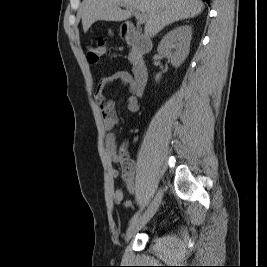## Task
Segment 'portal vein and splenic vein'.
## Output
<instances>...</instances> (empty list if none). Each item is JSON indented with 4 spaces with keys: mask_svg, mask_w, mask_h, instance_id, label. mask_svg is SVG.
<instances>
[{
    "mask_svg": "<svg viewBox=\"0 0 267 267\" xmlns=\"http://www.w3.org/2000/svg\"><path fill=\"white\" fill-rule=\"evenodd\" d=\"M117 5L124 6V4H122V3H117ZM133 13H134V15H135V17L139 23H144L146 21L147 16L145 13H142V12L137 11V10H134Z\"/></svg>",
    "mask_w": 267,
    "mask_h": 267,
    "instance_id": "portal-vein-and-splenic-vein-1",
    "label": "portal vein and splenic vein"
}]
</instances>
